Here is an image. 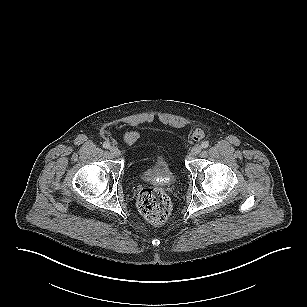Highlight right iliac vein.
Instances as JSON below:
<instances>
[{"label": "right iliac vein", "mask_w": 307, "mask_h": 307, "mask_svg": "<svg viewBox=\"0 0 307 307\" xmlns=\"http://www.w3.org/2000/svg\"><path fill=\"white\" fill-rule=\"evenodd\" d=\"M109 150L113 156L115 157L120 156V150L116 146H111Z\"/></svg>", "instance_id": "right-iliac-vein-1"}]
</instances>
